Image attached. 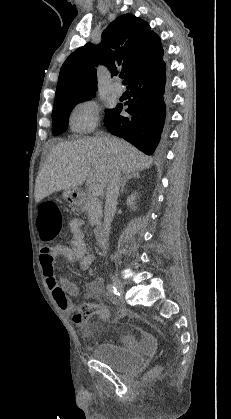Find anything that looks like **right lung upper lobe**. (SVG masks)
I'll return each instance as SVG.
<instances>
[{
	"mask_svg": "<svg viewBox=\"0 0 231 419\" xmlns=\"http://www.w3.org/2000/svg\"><path fill=\"white\" fill-rule=\"evenodd\" d=\"M162 56L160 38L149 24L132 14H124L104 30L99 45L87 43L66 59L60 70L54 103L94 94L98 63L107 66L113 75H117V69L124 72L127 85L162 60Z\"/></svg>",
	"mask_w": 231,
	"mask_h": 419,
	"instance_id": "1",
	"label": "right lung upper lobe"
}]
</instances>
